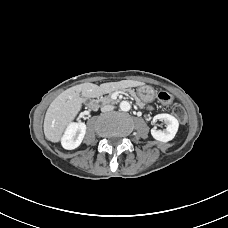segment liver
<instances>
[{
  "label": "liver",
  "instance_id": "obj_1",
  "mask_svg": "<svg viewBox=\"0 0 228 228\" xmlns=\"http://www.w3.org/2000/svg\"><path fill=\"white\" fill-rule=\"evenodd\" d=\"M124 84L131 87L144 85L143 82L139 81L107 83L100 87L93 83H83L63 91L52 101L45 114L43 128L46 138L54 143L62 139L63 133L75 119L85 102L83 97H98L102 93L121 88Z\"/></svg>",
  "mask_w": 228,
  "mask_h": 228
}]
</instances>
